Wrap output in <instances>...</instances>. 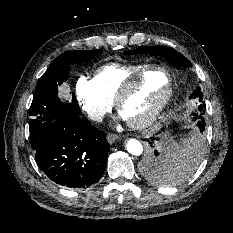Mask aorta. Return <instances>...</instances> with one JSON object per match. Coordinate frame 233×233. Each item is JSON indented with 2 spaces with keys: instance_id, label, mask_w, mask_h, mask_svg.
<instances>
[{
  "instance_id": "1",
  "label": "aorta",
  "mask_w": 233,
  "mask_h": 233,
  "mask_svg": "<svg viewBox=\"0 0 233 233\" xmlns=\"http://www.w3.org/2000/svg\"><path fill=\"white\" fill-rule=\"evenodd\" d=\"M127 151L132 154L139 156L143 152L142 144L136 139H129L126 144Z\"/></svg>"
}]
</instances>
